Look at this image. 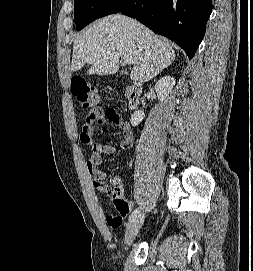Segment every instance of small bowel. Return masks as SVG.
I'll return each mask as SVG.
<instances>
[{
  "label": "small bowel",
  "mask_w": 253,
  "mask_h": 271,
  "mask_svg": "<svg viewBox=\"0 0 253 271\" xmlns=\"http://www.w3.org/2000/svg\"><path fill=\"white\" fill-rule=\"evenodd\" d=\"M96 125H112L121 130L123 139L120 142V147L122 149H128L133 145L134 136L129 124L120 117L119 121H115L108 118L106 115H103L100 110L91 111L85 116L80 140L84 145H91L92 148V152L86 162V168L93 186L100 191H106L107 185L105 183V179L107 178V173L100 170L99 167L102 164L103 156L114 154L116 147L110 144L92 143V137ZM114 184L119 185V180H116ZM126 203L127 207L122 216H126L132 209V203Z\"/></svg>",
  "instance_id": "obj_1"
}]
</instances>
